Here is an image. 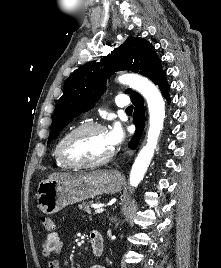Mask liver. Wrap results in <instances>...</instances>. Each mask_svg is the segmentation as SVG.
<instances>
[{"label":"liver","mask_w":221,"mask_h":268,"mask_svg":"<svg viewBox=\"0 0 221 268\" xmlns=\"http://www.w3.org/2000/svg\"><path fill=\"white\" fill-rule=\"evenodd\" d=\"M103 171H93L89 173H79V174H72V173H52L48 176V180H68V181H76L83 178H94L101 175Z\"/></svg>","instance_id":"liver-1"}]
</instances>
